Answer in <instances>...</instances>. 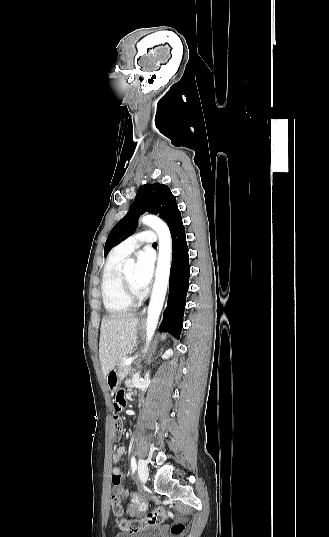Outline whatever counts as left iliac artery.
<instances>
[{"label": "left iliac artery", "instance_id": "obj_1", "mask_svg": "<svg viewBox=\"0 0 329 537\" xmlns=\"http://www.w3.org/2000/svg\"><path fill=\"white\" fill-rule=\"evenodd\" d=\"M136 467H137V466H136V460H135V457L132 456V457H131V469H132V473L135 472Z\"/></svg>", "mask_w": 329, "mask_h": 537}]
</instances>
